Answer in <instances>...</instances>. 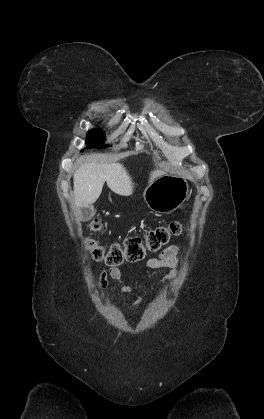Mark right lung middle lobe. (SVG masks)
Instances as JSON below:
<instances>
[{"instance_id": "obj_1", "label": "right lung middle lobe", "mask_w": 264, "mask_h": 419, "mask_svg": "<svg viewBox=\"0 0 264 419\" xmlns=\"http://www.w3.org/2000/svg\"><path fill=\"white\" fill-rule=\"evenodd\" d=\"M104 141V134L102 132H99L98 130H91L87 134V141L86 144L89 147H96V148H104L105 145H103Z\"/></svg>"}]
</instances>
